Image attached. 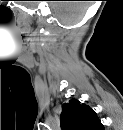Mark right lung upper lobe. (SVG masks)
Masks as SVG:
<instances>
[{
  "label": "right lung upper lobe",
  "mask_w": 123,
  "mask_h": 130,
  "mask_svg": "<svg viewBox=\"0 0 123 130\" xmlns=\"http://www.w3.org/2000/svg\"><path fill=\"white\" fill-rule=\"evenodd\" d=\"M60 126L64 130H102L97 114L84 103L71 99L62 106Z\"/></svg>",
  "instance_id": "cb5924a9"
}]
</instances>
